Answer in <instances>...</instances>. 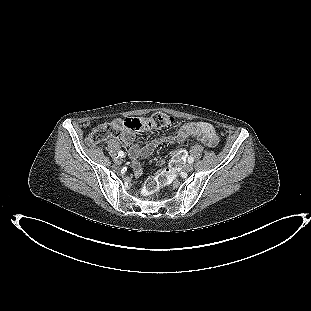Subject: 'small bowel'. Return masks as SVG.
Returning <instances> with one entry per match:
<instances>
[{
	"label": "small bowel",
	"instance_id": "1",
	"mask_svg": "<svg viewBox=\"0 0 311 311\" xmlns=\"http://www.w3.org/2000/svg\"><path fill=\"white\" fill-rule=\"evenodd\" d=\"M189 138H198L208 147H214L218 143V136L214 127L204 121L188 122L179 126L174 134L154 138L146 143L142 148H139L135 143V134L130 130H123L120 136L122 144L129 148V157L132 161L131 166L135 177L142 174V169L137 163L140 158H147L155 151L162 143L184 142ZM184 152L176 154L177 159L184 157ZM162 161H159L161 164Z\"/></svg>",
	"mask_w": 311,
	"mask_h": 311
}]
</instances>
